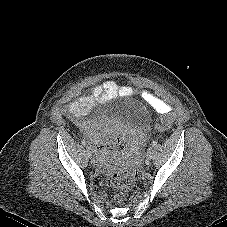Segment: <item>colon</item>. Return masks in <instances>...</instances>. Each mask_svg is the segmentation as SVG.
Wrapping results in <instances>:
<instances>
[{"label":"colon","mask_w":227,"mask_h":227,"mask_svg":"<svg viewBox=\"0 0 227 227\" xmlns=\"http://www.w3.org/2000/svg\"><path fill=\"white\" fill-rule=\"evenodd\" d=\"M174 121V117L171 114L164 115L158 125L153 129L156 136L161 137L165 134L166 129H168ZM137 177V167L132 165L129 168L117 171L112 174L110 179V184L115 192V201L121 202L125 196L131 190Z\"/></svg>","instance_id":"5ec220e1"}]
</instances>
